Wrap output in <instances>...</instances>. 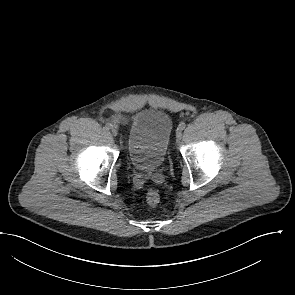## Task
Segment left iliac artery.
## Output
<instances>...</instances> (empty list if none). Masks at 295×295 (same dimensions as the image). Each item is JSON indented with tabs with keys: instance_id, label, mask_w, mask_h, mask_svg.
Segmentation results:
<instances>
[{
	"instance_id": "1",
	"label": "left iliac artery",
	"mask_w": 295,
	"mask_h": 295,
	"mask_svg": "<svg viewBox=\"0 0 295 295\" xmlns=\"http://www.w3.org/2000/svg\"><path fill=\"white\" fill-rule=\"evenodd\" d=\"M186 127V124L185 123H180L179 126H178V129L177 130H184Z\"/></svg>"
}]
</instances>
